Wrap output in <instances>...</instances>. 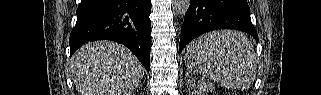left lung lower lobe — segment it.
I'll return each mask as SVG.
<instances>
[{
  "mask_svg": "<svg viewBox=\"0 0 321 95\" xmlns=\"http://www.w3.org/2000/svg\"><path fill=\"white\" fill-rule=\"evenodd\" d=\"M216 29L240 30L258 41L246 0H191L181 28L179 51L194 38Z\"/></svg>",
  "mask_w": 321,
  "mask_h": 95,
  "instance_id": "left-lung-lower-lobe-1",
  "label": "left lung lower lobe"
}]
</instances>
